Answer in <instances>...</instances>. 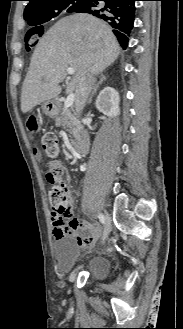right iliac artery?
Segmentation results:
<instances>
[{"instance_id":"82829eb1","label":"right iliac artery","mask_w":183,"mask_h":329,"mask_svg":"<svg viewBox=\"0 0 183 329\" xmlns=\"http://www.w3.org/2000/svg\"><path fill=\"white\" fill-rule=\"evenodd\" d=\"M98 218L102 224H105V218L103 214H98Z\"/></svg>"}]
</instances>
